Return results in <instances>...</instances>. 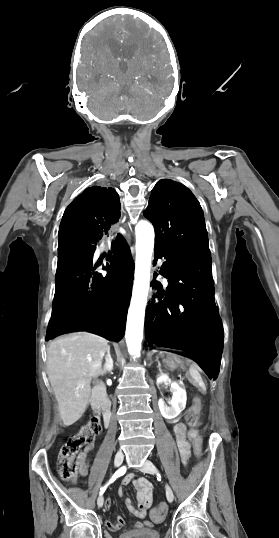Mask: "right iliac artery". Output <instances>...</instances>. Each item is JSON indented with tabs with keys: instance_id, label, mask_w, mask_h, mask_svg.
Returning a JSON list of instances; mask_svg holds the SVG:
<instances>
[{
	"instance_id": "1",
	"label": "right iliac artery",
	"mask_w": 279,
	"mask_h": 538,
	"mask_svg": "<svg viewBox=\"0 0 279 538\" xmlns=\"http://www.w3.org/2000/svg\"><path fill=\"white\" fill-rule=\"evenodd\" d=\"M125 472H126V467H125V466H122L121 468H119V469L115 472V474L112 476V478L109 480V482H108L106 485H104L103 487H101V489H100V495H102V494L105 492V490H106L108 484L114 482L118 477L124 475Z\"/></svg>"
}]
</instances>
